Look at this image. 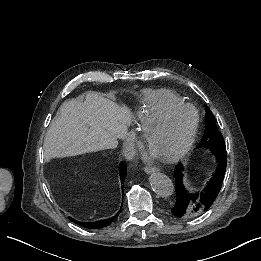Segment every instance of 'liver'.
I'll return each mask as SVG.
<instances>
[{
	"mask_svg": "<svg viewBox=\"0 0 261 261\" xmlns=\"http://www.w3.org/2000/svg\"><path fill=\"white\" fill-rule=\"evenodd\" d=\"M134 119L126 105H118L97 92L64 102L44 139L45 153L73 156L115 148Z\"/></svg>",
	"mask_w": 261,
	"mask_h": 261,
	"instance_id": "1",
	"label": "liver"
}]
</instances>
